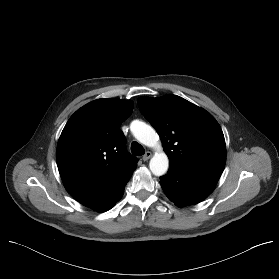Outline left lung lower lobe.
I'll use <instances>...</instances> for the list:
<instances>
[{"mask_svg": "<svg viewBox=\"0 0 279 279\" xmlns=\"http://www.w3.org/2000/svg\"><path fill=\"white\" fill-rule=\"evenodd\" d=\"M220 175L199 173L169 165L160 184L167 197L177 206L197 204L204 200L214 189Z\"/></svg>", "mask_w": 279, "mask_h": 279, "instance_id": "0a47b994", "label": "left lung lower lobe"}]
</instances>
